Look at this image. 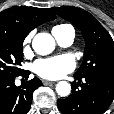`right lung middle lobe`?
Segmentation results:
<instances>
[{
    "label": "right lung middle lobe",
    "instance_id": "1",
    "mask_svg": "<svg viewBox=\"0 0 114 114\" xmlns=\"http://www.w3.org/2000/svg\"><path fill=\"white\" fill-rule=\"evenodd\" d=\"M23 41L0 33V80L17 77L24 71L19 67L23 60Z\"/></svg>",
    "mask_w": 114,
    "mask_h": 114
}]
</instances>
